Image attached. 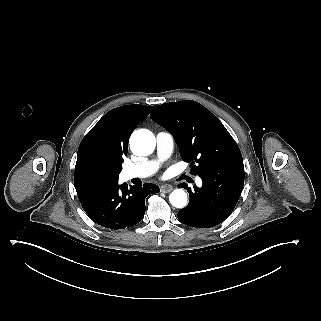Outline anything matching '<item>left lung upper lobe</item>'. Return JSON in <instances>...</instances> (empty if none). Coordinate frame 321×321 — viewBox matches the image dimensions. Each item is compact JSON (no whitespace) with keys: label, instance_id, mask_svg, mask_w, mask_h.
Returning a JSON list of instances; mask_svg holds the SVG:
<instances>
[{"label":"left lung upper lobe","instance_id":"obj_1","mask_svg":"<svg viewBox=\"0 0 321 321\" xmlns=\"http://www.w3.org/2000/svg\"><path fill=\"white\" fill-rule=\"evenodd\" d=\"M151 118L172 134L194 175L220 164L243 162L238 145L224 125L195 101L159 105Z\"/></svg>","mask_w":321,"mask_h":321}]
</instances>
